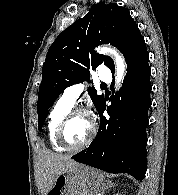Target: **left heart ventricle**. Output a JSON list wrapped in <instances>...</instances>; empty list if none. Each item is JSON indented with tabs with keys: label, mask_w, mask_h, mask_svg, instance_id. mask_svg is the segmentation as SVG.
<instances>
[{
	"label": "left heart ventricle",
	"mask_w": 178,
	"mask_h": 195,
	"mask_svg": "<svg viewBox=\"0 0 178 195\" xmlns=\"http://www.w3.org/2000/svg\"><path fill=\"white\" fill-rule=\"evenodd\" d=\"M90 119L88 116L80 115L73 118L65 131V140L70 146L82 144L90 134Z\"/></svg>",
	"instance_id": "left-heart-ventricle-1"
}]
</instances>
